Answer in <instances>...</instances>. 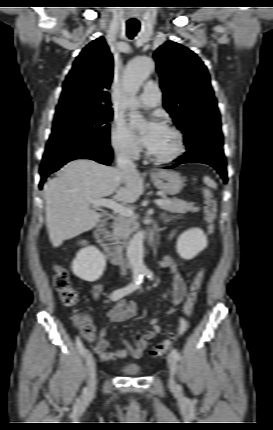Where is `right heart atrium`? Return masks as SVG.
<instances>
[{"label": "right heart atrium", "mask_w": 273, "mask_h": 430, "mask_svg": "<svg viewBox=\"0 0 273 430\" xmlns=\"http://www.w3.org/2000/svg\"><path fill=\"white\" fill-rule=\"evenodd\" d=\"M111 143L115 153L123 158H136L140 154V146L133 138L127 127L121 122H115L111 131Z\"/></svg>", "instance_id": "d8ad5b80"}]
</instances>
